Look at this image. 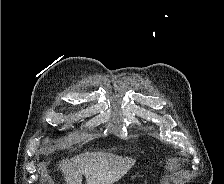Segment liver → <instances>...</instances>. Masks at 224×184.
I'll use <instances>...</instances> for the list:
<instances>
[{"label": "liver", "instance_id": "6515ba94", "mask_svg": "<svg viewBox=\"0 0 224 184\" xmlns=\"http://www.w3.org/2000/svg\"><path fill=\"white\" fill-rule=\"evenodd\" d=\"M135 164L132 158L105 152H86L59 164L66 184H113L119 181Z\"/></svg>", "mask_w": 224, "mask_h": 184}]
</instances>
